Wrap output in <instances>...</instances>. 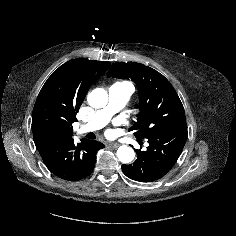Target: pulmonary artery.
<instances>
[{
    "mask_svg": "<svg viewBox=\"0 0 236 236\" xmlns=\"http://www.w3.org/2000/svg\"><path fill=\"white\" fill-rule=\"evenodd\" d=\"M132 87L126 82H116L109 87V100L105 108L98 110L92 119L80 126L79 134L93 132L103 128L111 117L120 111L128 102Z\"/></svg>",
    "mask_w": 236,
    "mask_h": 236,
    "instance_id": "pulmonary-artery-1",
    "label": "pulmonary artery"
}]
</instances>
